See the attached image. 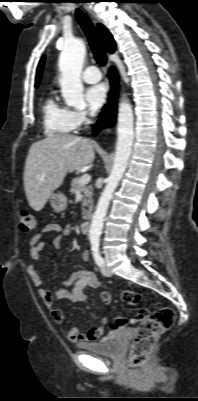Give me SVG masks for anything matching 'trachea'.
<instances>
[{
	"label": "trachea",
	"mask_w": 198,
	"mask_h": 401,
	"mask_svg": "<svg viewBox=\"0 0 198 401\" xmlns=\"http://www.w3.org/2000/svg\"><path fill=\"white\" fill-rule=\"evenodd\" d=\"M75 16L88 39L95 60L98 64L104 66L107 60L106 53L104 51L100 36L96 31L93 23L91 22L89 17L79 9H76Z\"/></svg>",
	"instance_id": "1"
}]
</instances>
